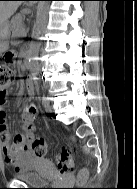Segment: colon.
I'll return each mask as SVG.
<instances>
[{
	"mask_svg": "<svg viewBox=\"0 0 137 189\" xmlns=\"http://www.w3.org/2000/svg\"><path fill=\"white\" fill-rule=\"evenodd\" d=\"M7 62L0 63V97L5 96V88L14 80L15 73L10 66L12 61L11 53L6 54ZM37 111V105L30 103L26 108V113L34 115ZM27 147L37 156H45L48 152L46 141L38 136H29L27 139ZM57 166L60 172L65 173L73 168L74 162L71 153L68 150H62L56 157Z\"/></svg>",
	"mask_w": 137,
	"mask_h": 189,
	"instance_id": "5ec220e1",
	"label": "colon"
}]
</instances>
